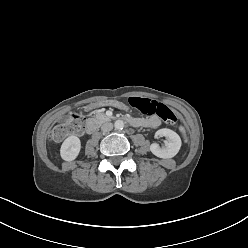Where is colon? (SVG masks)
<instances>
[{"instance_id": "1", "label": "colon", "mask_w": 248, "mask_h": 248, "mask_svg": "<svg viewBox=\"0 0 248 248\" xmlns=\"http://www.w3.org/2000/svg\"><path fill=\"white\" fill-rule=\"evenodd\" d=\"M129 102L132 107H134L141 113L149 116L156 115L168 124H173L177 120V116L172 109L157 101L146 98L131 97L129 99ZM82 129H83L82 118L77 115H74L67 118L59 125L55 126L50 133V137L54 141H60L71 134H76L81 132ZM180 131L184 140L187 141L186 130L183 127H181Z\"/></svg>"}]
</instances>
